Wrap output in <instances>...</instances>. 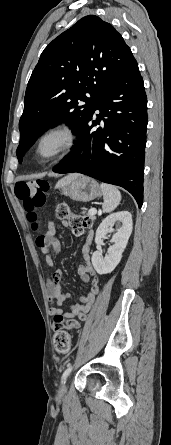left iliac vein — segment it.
Wrapping results in <instances>:
<instances>
[{
    "label": "left iliac vein",
    "mask_w": 171,
    "mask_h": 445,
    "mask_svg": "<svg viewBox=\"0 0 171 445\" xmlns=\"http://www.w3.org/2000/svg\"><path fill=\"white\" fill-rule=\"evenodd\" d=\"M68 377V376H67ZM67 377L62 381V384H61V387H60V391H65V388H66V379H67Z\"/></svg>",
    "instance_id": "4c4485c4"
}]
</instances>
